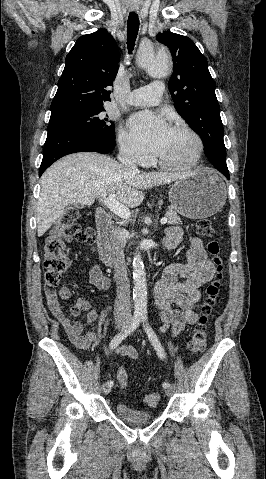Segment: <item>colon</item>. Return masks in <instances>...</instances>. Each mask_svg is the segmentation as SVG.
<instances>
[{
	"label": "colon",
	"mask_w": 266,
	"mask_h": 479,
	"mask_svg": "<svg viewBox=\"0 0 266 479\" xmlns=\"http://www.w3.org/2000/svg\"><path fill=\"white\" fill-rule=\"evenodd\" d=\"M78 211L74 208H68L61 218L56 222L50 230L44 243V284L48 291L54 290L62 275L70 266V258L65 243V237L70 234L79 242H91L94 238V231L91 227H82L78 222ZM197 232L206 237L214 236V228L208 219H201L196 225ZM222 246L219 241L210 239L208 241V250L214 256L216 265V277L207 288V297L202 306L199 321L195 326V330L188 342V350L192 355L198 354L204 350L207 344V323L212 313L222 289L223 279V261L220 257ZM117 379L121 387L128 386V374L125 368H119L117 371ZM159 401L156 393L147 394L144 397V403L149 406H155Z\"/></svg>",
	"instance_id": "5ec220e1"
}]
</instances>
